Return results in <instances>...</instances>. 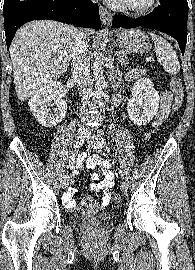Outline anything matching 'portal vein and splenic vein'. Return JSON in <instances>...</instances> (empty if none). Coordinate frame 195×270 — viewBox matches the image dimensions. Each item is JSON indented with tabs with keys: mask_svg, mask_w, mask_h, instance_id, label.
Listing matches in <instances>:
<instances>
[{
	"mask_svg": "<svg viewBox=\"0 0 195 270\" xmlns=\"http://www.w3.org/2000/svg\"><path fill=\"white\" fill-rule=\"evenodd\" d=\"M116 56H120V53L119 52H116V54H115Z\"/></svg>",
	"mask_w": 195,
	"mask_h": 270,
	"instance_id": "portal-vein-and-splenic-vein-1",
	"label": "portal vein and splenic vein"
}]
</instances>
